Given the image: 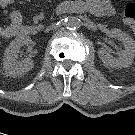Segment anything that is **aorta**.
Wrapping results in <instances>:
<instances>
[{"mask_svg":"<svg viewBox=\"0 0 135 135\" xmlns=\"http://www.w3.org/2000/svg\"><path fill=\"white\" fill-rule=\"evenodd\" d=\"M65 27L69 30H75L80 27V19L75 16L67 17L65 20Z\"/></svg>","mask_w":135,"mask_h":135,"instance_id":"1","label":"aorta"}]
</instances>
